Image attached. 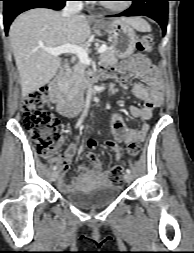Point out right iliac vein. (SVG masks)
Returning <instances> with one entry per match:
<instances>
[{"mask_svg": "<svg viewBox=\"0 0 194 253\" xmlns=\"http://www.w3.org/2000/svg\"><path fill=\"white\" fill-rule=\"evenodd\" d=\"M57 177H58V173L56 171L51 173V180L52 181H56Z\"/></svg>", "mask_w": 194, "mask_h": 253, "instance_id": "obj_1", "label": "right iliac vein"}]
</instances>
